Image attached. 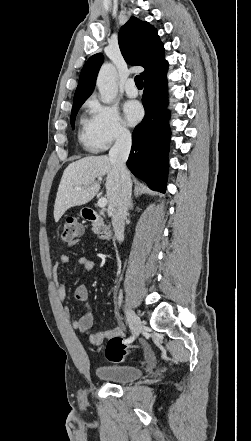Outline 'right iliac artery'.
<instances>
[{
  "label": "right iliac artery",
  "mask_w": 251,
  "mask_h": 441,
  "mask_svg": "<svg viewBox=\"0 0 251 441\" xmlns=\"http://www.w3.org/2000/svg\"><path fill=\"white\" fill-rule=\"evenodd\" d=\"M133 340H134V337L131 336V337H129L128 339H126L125 342H126V343H130V342H132Z\"/></svg>",
  "instance_id": "right-iliac-artery-1"
}]
</instances>
